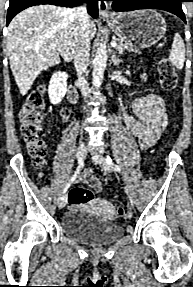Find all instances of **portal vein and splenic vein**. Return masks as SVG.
Returning a JSON list of instances; mask_svg holds the SVG:
<instances>
[{
  "mask_svg": "<svg viewBox=\"0 0 193 287\" xmlns=\"http://www.w3.org/2000/svg\"><path fill=\"white\" fill-rule=\"evenodd\" d=\"M56 45H52V47H55ZM111 46L112 47H116L117 46V42L116 41H112L111 42Z\"/></svg>",
  "mask_w": 193,
  "mask_h": 287,
  "instance_id": "obj_1",
  "label": "portal vein and splenic vein"
}]
</instances>
